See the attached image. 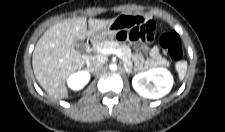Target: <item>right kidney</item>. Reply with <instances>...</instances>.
Here are the masks:
<instances>
[{"mask_svg": "<svg viewBox=\"0 0 225 132\" xmlns=\"http://www.w3.org/2000/svg\"><path fill=\"white\" fill-rule=\"evenodd\" d=\"M90 80V74L87 71H79L71 75L67 84L72 90H81Z\"/></svg>", "mask_w": 225, "mask_h": 132, "instance_id": "obj_1", "label": "right kidney"}]
</instances>
